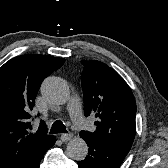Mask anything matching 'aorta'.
<instances>
[{
  "label": "aorta",
  "instance_id": "obj_1",
  "mask_svg": "<svg viewBox=\"0 0 168 168\" xmlns=\"http://www.w3.org/2000/svg\"><path fill=\"white\" fill-rule=\"evenodd\" d=\"M40 91L44 99L50 104H65L70 97L68 84L59 77L50 76L46 78L41 85ZM66 152L74 160H84L88 154V146L82 138L76 137L69 141Z\"/></svg>",
  "mask_w": 168,
  "mask_h": 168
}]
</instances>
